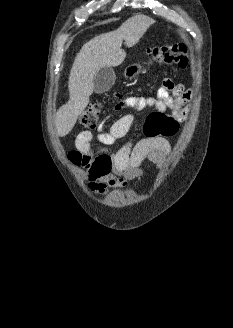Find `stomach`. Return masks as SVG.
Returning <instances> with one entry per match:
<instances>
[{
  "mask_svg": "<svg viewBox=\"0 0 233 328\" xmlns=\"http://www.w3.org/2000/svg\"><path fill=\"white\" fill-rule=\"evenodd\" d=\"M141 72H142V66L139 63H134V64H131V65H128L125 68L124 76L127 79L132 80L135 77H137Z\"/></svg>",
  "mask_w": 233,
  "mask_h": 328,
  "instance_id": "1",
  "label": "stomach"
}]
</instances>
